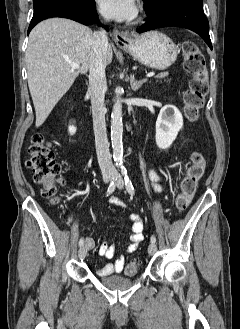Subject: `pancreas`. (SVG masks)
I'll list each match as a JSON object with an SVG mask.
<instances>
[{"label":"pancreas","mask_w":240,"mask_h":329,"mask_svg":"<svg viewBox=\"0 0 240 329\" xmlns=\"http://www.w3.org/2000/svg\"><path fill=\"white\" fill-rule=\"evenodd\" d=\"M167 75H168L167 73H161V74L157 75L156 77H157V78H164V77H166Z\"/></svg>","instance_id":"pancreas-1"}]
</instances>
